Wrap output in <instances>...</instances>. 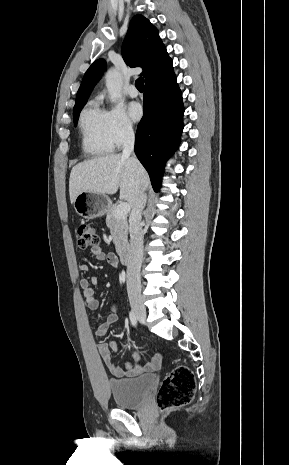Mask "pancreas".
Returning <instances> with one entry per match:
<instances>
[{"mask_svg":"<svg viewBox=\"0 0 289 465\" xmlns=\"http://www.w3.org/2000/svg\"><path fill=\"white\" fill-rule=\"evenodd\" d=\"M118 205L110 206L107 211L106 225L110 229L116 252L121 253L128 245V222L126 216L123 218L115 217V210Z\"/></svg>","mask_w":289,"mask_h":465,"instance_id":"1","label":"pancreas"}]
</instances>
